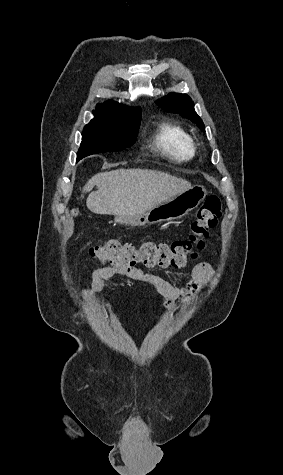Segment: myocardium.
Instances as JSON below:
<instances>
[{
  "instance_id": "1",
  "label": "myocardium",
  "mask_w": 283,
  "mask_h": 475,
  "mask_svg": "<svg viewBox=\"0 0 283 475\" xmlns=\"http://www.w3.org/2000/svg\"><path fill=\"white\" fill-rule=\"evenodd\" d=\"M194 144H195V147L197 148V147H198V144H196L195 142H194Z\"/></svg>"
}]
</instances>
